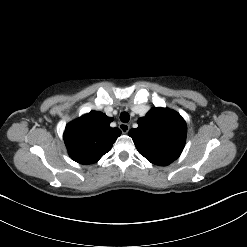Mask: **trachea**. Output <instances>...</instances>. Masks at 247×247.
Returning a JSON list of instances; mask_svg holds the SVG:
<instances>
[{
    "instance_id": "trachea-1",
    "label": "trachea",
    "mask_w": 247,
    "mask_h": 247,
    "mask_svg": "<svg viewBox=\"0 0 247 247\" xmlns=\"http://www.w3.org/2000/svg\"><path fill=\"white\" fill-rule=\"evenodd\" d=\"M120 120L123 122V123H127L129 120H130V115L127 113V112H122L120 114Z\"/></svg>"
}]
</instances>
